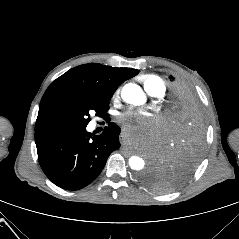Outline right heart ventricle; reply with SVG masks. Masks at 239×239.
Instances as JSON below:
<instances>
[{
  "mask_svg": "<svg viewBox=\"0 0 239 239\" xmlns=\"http://www.w3.org/2000/svg\"><path fill=\"white\" fill-rule=\"evenodd\" d=\"M140 81L142 82L147 92H152L156 90L157 88H159L160 86L164 85L162 79L159 76L154 74L142 75L140 77Z\"/></svg>",
  "mask_w": 239,
  "mask_h": 239,
  "instance_id": "e07e8e85",
  "label": "right heart ventricle"
}]
</instances>
